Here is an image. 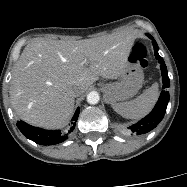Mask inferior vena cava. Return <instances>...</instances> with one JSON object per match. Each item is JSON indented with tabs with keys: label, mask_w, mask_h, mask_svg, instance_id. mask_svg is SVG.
<instances>
[{
	"label": "inferior vena cava",
	"mask_w": 187,
	"mask_h": 187,
	"mask_svg": "<svg viewBox=\"0 0 187 187\" xmlns=\"http://www.w3.org/2000/svg\"><path fill=\"white\" fill-rule=\"evenodd\" d=\"M71 95L73 97H78L80 95V91L78 89H74L71 91Z\"/></svg>",
	"instance_id": "inferior-vena-cava-1"
}]
</instances>
